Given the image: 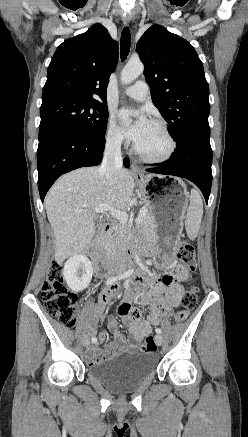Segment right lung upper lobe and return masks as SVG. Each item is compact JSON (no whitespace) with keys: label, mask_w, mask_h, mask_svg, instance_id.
Returning <instances> with one entry per match:
<instances>
[{"label":"right lung upper lobe","mask_w":248,"mask_h":437,"mask_svg":"<svg viewBox=\"0 0 248 437\" xmlns=\"http://www.w3.org/2000/svg\"><path fill=\"white\" fill-rule=\"evenodd\" d=\"M118 61V44L100 24L64 41L48 67L42 98L65 95L101 104Z\"/></svg>","instance_id":"1"}]
</instances>
